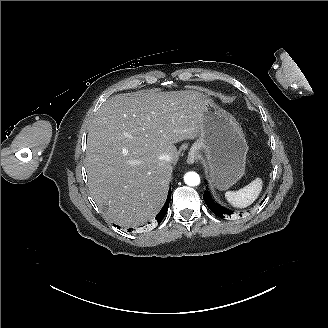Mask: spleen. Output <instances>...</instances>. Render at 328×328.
Listing matches in <instances>:
<instances>
[{
    "instance_id": "3e777b00",
    "label": "spleen",
    "mask_w": 328,
    "mask_h": 328,
    "mask_svg": "<svg viewBox=\"0 0 328 328\" xmlns=\"http://www.w3.org/2000/svg\"><path fill=\"white\" fill-rule=\"evenodd\" d=\"M263 182L261 178H256L238 191H227L225 198L236 208H246L250 206L262 191Z\"/></svg>"
}]
</instances>
